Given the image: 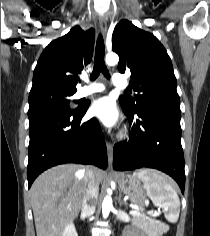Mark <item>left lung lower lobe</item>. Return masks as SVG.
Instances as JSON below:
<instances>
[{"instance_id": "1", "label": "left lung lower lobe", "mask_w": 210, "mask_h": 236, "mask_svg": "<svg viewBox=\"0 0 210 236\" xmlns=\"http://www.w3.org/2000/svg\"><path fill=\"white\" fill-rule=\"evenodd\" d=\"M122 109L128 117L131 131L128 141L114 146V169L125 171L150 167L161 170L173 177L184 193L180 107L151 104L135 113L128 112L123 106Z\"/></svg>"}]
</instances>
